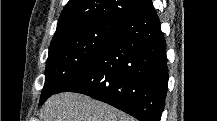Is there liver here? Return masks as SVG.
<instances>
[{
    "mask_svg": "<svg viewBox=\"0 0 217 121\" xmlns=\"http://www.w3.org/2000/svg\"><path fill=\"white\" fill-rule=\"evenodd\" d=\"M40 121H134L116 108L78 93L51 96L40 111Z\"/></svg>",
    "mask_w": 217,
    "mask_h": 121,
    "instance_id": "1",
    "label": "liver"
}]
</instances>
